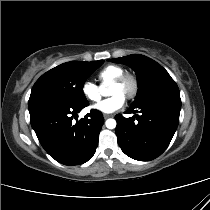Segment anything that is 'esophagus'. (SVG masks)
Returning <instances> with one entry per match:
<instances>
[{"mask_svg": "<svg viewBox=\"0 0 210 210\" xmlns=\"http://www.w3.org/2000/svg\"><path fill=\"white\" fill-rule=\"evenodd\" d=\"M103 117H104V119H108V118L112 117V115L104 114Z\"/></svg>", "mask_w": 210, "mask_h": 210, "instance_id": "1", "label": "esophagus"}]
</instances>
